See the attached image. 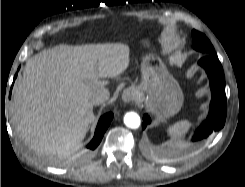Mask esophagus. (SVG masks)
I'll return each instance as SVG.
<instances>
[{
  "label": "esophagus",
  "instance_id": "esophagus-1",
  "mask_svg": "<svg viewBox=\"0 0 245 187\" xmlns=\"http://www.w3.org/2000/svg\"><path fill=\"white\" fill-rule=\"evenodd\" d=\"M122 100L124 103L128 104L134 100V92L132 89H125L122 93Z\"/></svg>",
  "mask_w": 245,
  "mask_h": 187
}]
</instances>
